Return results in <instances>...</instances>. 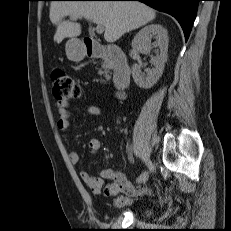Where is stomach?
<instances>
[{"instance_id": "1", "label": "stomach", "mask_w": 231, "mask_h": 231, "mask_svg": "<svg viewBox=\"0 0 231 231\" xmlns=\"http://www.w3.org/2000/svg\"><path fill=\"white\" fill-rule=\"evenodd\" d=\"M65 51L70 61L79 62L85 57V47L77 38H71L67 41Z\"/></svg>"}]
</instances>
